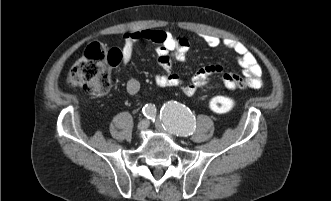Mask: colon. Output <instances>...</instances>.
<instances>
[{
    "instance_id": "1",
    "label": "colon",
    "mask_w": 331,
    "mask_h": 201,
    "mask_svg": "<svg viewBox=\"0 0 331 201\" xmlns=\"http://www.w3.org/2000/svg\"><path fill=\"white\" fill-rule=\"evenodd\" d=\"M121 59L119 50L106 49L98 43L89 45L83 56L73 65L67 76V83L93 96L109 93L110 68ZM231 96H215L209 100V108L214 113H228L236 106Z\"/></svg>"
}]
</instances>
